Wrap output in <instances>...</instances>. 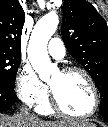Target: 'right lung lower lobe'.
<instances>
[{"mask_svg":"<svg viewBox=\"0 0 108 127\" xmlns=\"http://www.w3.org/2000/svg\"><path fill=\"white\" fill-rule=\"evenodd\" d=\"M17 100L14 89L0 85V111L12 106Z\"/></svg>","mask_w":108,"mask_h":127,"instance_id":"right-lung-lower-lobe-1","label":"right lung lower lobe"}]
</instances>
